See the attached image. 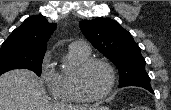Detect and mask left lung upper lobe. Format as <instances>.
Segmentation results:
<instances>
[{
  "label": "left lung upper lobe",
  "instance_id": "5c2ea615",
  "mask_svg": "<svg viewBox=\"0 0 171 110\" xmlns=\"http://www.w3.org/2000/svg\"><path fill=\"white\" fill-rule=\"evenodd\" d=\"M80 29L91 44L109 58L120 73L119 86L151 88L145 60L132 35L115 20L96 18L80 22Z\"/></svg>",
  "mask_w": 171,
  "mask_h": 110
}]
</instances>
